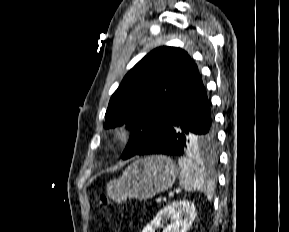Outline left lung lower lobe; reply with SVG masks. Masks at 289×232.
<instances>
[{
    "label": "left lung lower lobe",
    "instance_id": "left-lung-lower-lobe-1",
    "mask_svg": "<svg viewBox=\"0 0 289 232\" xmlns=\"http://www.w3.org/2000/svg\"><path fill=\"white\" fill-rule=\"evenodd\" d=\"M215 141V123L200 78L180 101L167 125L135 155L208 151Z\"/></svg>",
    "mask_w": 289,
    "mask_h": 232
}]
</instances>
